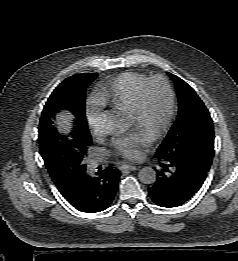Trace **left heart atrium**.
Listing matches in <instances>:
<instances>
[{"label":"left heart atrium","instance_id":"1","mask_svg":"<svg viewBox=\"0 0 238 261\" xmlns=\"http://www.w3.org/2000/svg\"><path fill=\"white\" fill-rule=\"evenodd\" d=\"M152 135L142 129L135 128L126 134L113 138L111 145L117 154L128 159H137L141 155V148L153 140Z\"/></svg>","mask_w":238,"mask_h":261}]
</instances>
